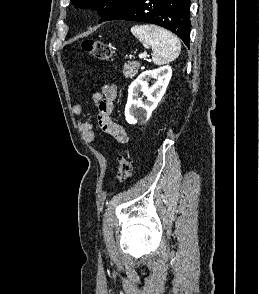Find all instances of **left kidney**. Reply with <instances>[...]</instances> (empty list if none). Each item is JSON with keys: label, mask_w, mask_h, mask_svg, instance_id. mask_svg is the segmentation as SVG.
Here are the masks:
<instances>
[{"label": "left kidney", "mask_w": 259, "mask_h": 294, "mask_svg": "<svg viewBox=\"0 0 259 294\" xmlns=\"http://www.w3.org/2000/svg\"><path fill=\"white\" fill-rule=\"evenodd\" d=\"M172 76L169 65L141 73L129 86L128 100L125 107V118L129 124L146 122L156 109L165 94ZM154 79V84L149 87L148 82ZM147 97L146 101L139 98V93Z\"/></svg>", "instance_id": "1"}]
</instances>
